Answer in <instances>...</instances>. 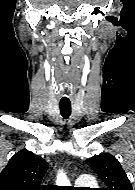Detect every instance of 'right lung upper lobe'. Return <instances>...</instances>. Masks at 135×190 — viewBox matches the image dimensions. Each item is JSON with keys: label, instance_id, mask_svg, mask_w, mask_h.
<instances>
[{"label": "right lung upper lobe", "instance_id": "right-lung-upper-lobe-1", "mask_svg": "<svg viewBox=\"0 0 135 190\" xmlns=\"http://www.w3.org/2000/svg\"><path fill=\"white\" fill-rule=\"evenodd\" d=\"M47 162L33 152L21 150L9 160L0 173V190H43L40 185Z\"/></svg>", "mask_w": 135, "mask_h": 190}]
</instances>
